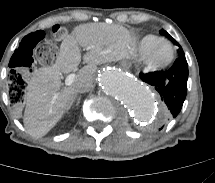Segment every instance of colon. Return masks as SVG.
I'll return each instance as SVG.
<instances>
[{
	"mask_svg": "<svg viewBox=\"0 0 215 183\" xmlns=\"http://www.w3.org/2000/svg\"><path fill=\"white\" fill-rule=\"evenodd\" d=\"M67 34L66 28L55 24L52 28H41L30 33L26 42L18 47V53L12 60L9 75V92L13 102L24 99L27 86L25 74L30 65L48 67L52 64L56 52L61 47V40Z\"/></svg>",
	"mask_w": 215,
	"mask_h": 183,
	"instance_id": "colon-1",
	"label": "colon"
}]
</instances>
